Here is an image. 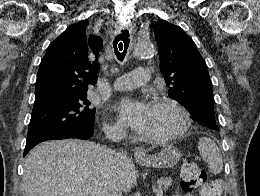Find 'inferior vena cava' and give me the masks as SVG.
<instances>
[{
  "mask_svg": "<svg viewBox=\"0 0 260 196\" xmlns=\"http://www.w3.org/2000/svg\"><path fill=\"white\" fill-rule=\"evenodd\" d=\"M105 136L108 140H112V142H121L123 132L122 130H110V132H106ZM104 160L114 166L118 162L119 156L115 150H110L109 148L104 156ZM106 196H122V190L118 184L115 172H109L107 176Z\"/></svg>",
  "mask_w": 260,
  "mask_h": 196,
  "instance_id": "obj_1",
  "label": "inferior vena cava"
}]
</instances>
